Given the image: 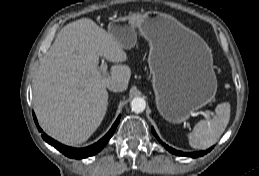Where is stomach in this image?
<instances>
[{"label": "stomach", "mask_w": 259, "mask_h": 176, "mask_svg": "<svg viewBox=\"0 0 259 176\" xmlns=\"http://www.w3.org/2000/svg\"><path fill=\"white\" fill-rule=\"evenodd\" d=\"M136 28L150 45L156 106L166 120L183 122L212 102L216 79L203 45L192 32L173 17L154 11L118 17L109 24V32L126 49L136 42Z\"/></svg>", "instance_id": "1"}]
</instances>
